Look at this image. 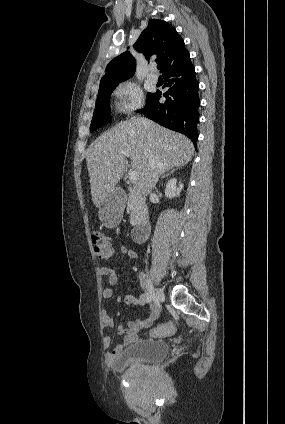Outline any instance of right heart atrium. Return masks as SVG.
Wrapping results in <instances>:
<instances>
[{"label":"right heart atrium","instance_id":"d8ad5b80","mask_svg":"<svg viewBox=\"0 0 285 424\" xmlns=\"http://www.w3.org/2000/svg\"><path fill=\"white\" fill-rule=\"evenodd\" d=\"M115 107L121 114H131L142 107L144 94L133 80H124L114 89Z\"/></svg>","mask_w":285,"mask_h":424}]
</instances>
